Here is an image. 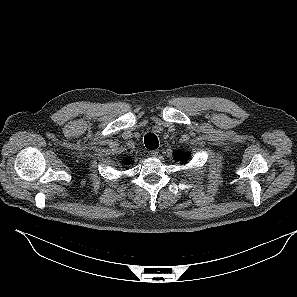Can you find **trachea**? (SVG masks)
I'll return each instance as SVG.
<instances>
[{
  "label": "trachea",
  "instance_id": "1",
  "mask_svg": "<svg viewBox=\"0 0 297 297\" xmlns=\"http://www.w3.org/2000/svg\"><path fill=\"white\" fill-rule=\"evenodd\" d=\"M144 143L146 148L150 150H155L159 146V141L158 138L155 134L153 133H147L144 137Z\"/></svg>",
  "mask_w": 297,
  "mask_h": 297
}]
</instances>
